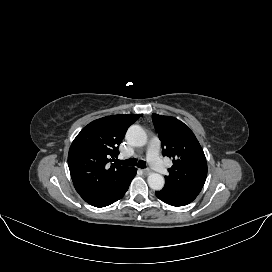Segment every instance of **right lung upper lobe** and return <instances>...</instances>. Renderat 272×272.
<instances>
[{"instance_id":"cb5924a9","label":"right lung upper lobe","mask_w":272,"mask_h":272,"mask_svg":"<svg viewBox=\"0 0 272 272\" xmlns=\"http://www.w3.org/2000/svg\"><path fill=\"white\" fill-rule=\"evenodd\" d=\"M142 114L113 115L92 121L72 142L68 165L76 191L85 201L110 188L132 168L109 163L119 154L125 131Z\"/></svg>"}]
</instances>
